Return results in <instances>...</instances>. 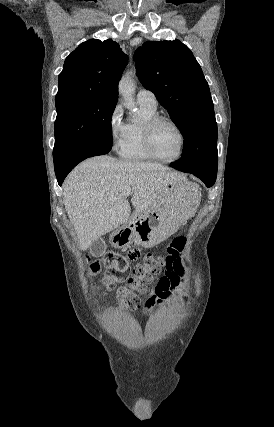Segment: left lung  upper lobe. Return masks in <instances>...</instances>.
<instances>
[{
    "mask_svg": "<svg viewBox=\"0 0 274 427\" xmlns=\"http://www.w3.org/2000/svg\"><path fill=\"white\" fill-rule=\"evenodd\" d=\"M137 76L168 111L184 138L177 163L217 170V124L208 83L192 52L179 40L148 41L134 54Z\"/></svg>",
    "mask_w": 274,
    "mask_h": 427,
    "instance_id": "1",
    "label": "left lung upper lobe"
}]
</instances>
